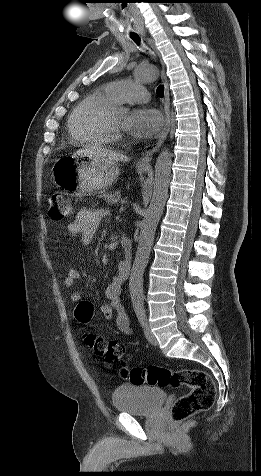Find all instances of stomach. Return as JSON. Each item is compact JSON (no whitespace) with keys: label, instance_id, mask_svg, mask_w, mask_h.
<instances>
[{"label":"stomach","instance_id":"obj_1","mask_svg":"<svg viewBox=\"0 0 261 476\" xmlns=\"http://www.w3.org/2000/svg\"><path fill=\"white\" fill-rule=\"evenodd\" d=\"M119 174L117 164L86 155L61 156V164H54L53 169L54 179L66 195H93L111 186Z\"/></svg>","mask_w":261,"mask_h":476}]
</instances>
